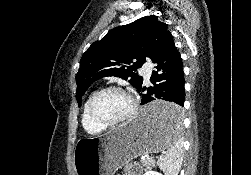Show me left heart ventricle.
I'll list each match as a JSON object with an SVG mask.
<instances>
[{
    "label": "left heart ventricle",
    "instance_id": "1",
    "mask_svg": "<svg viewBox=\"0 0 251 175\" xmlns=\"http://www.w3.org/2000/svg\"><path fill=\"white\" fill-rule=\"evenodd\" d=\"M130 110L128 97L121 91L104 93L96 103V112L103 119L114 122L123 118Z\"/></svg>",
    "mask_w": 251,
    "mask_h": 175
}]
</instances>
